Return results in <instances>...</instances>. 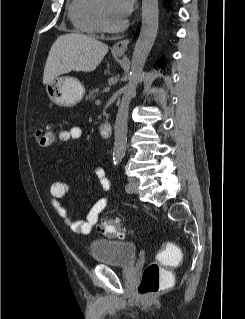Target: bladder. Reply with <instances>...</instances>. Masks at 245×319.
<instances>
[{"mask_svg": "<svg viewBox=\"0 0 245 319\" xmlns=\"http://www.w3.org/2000/svg\"><path fill=\"white\" fill-rule=\"evenodd\" d=\"M90 255L97 264L131 267L137 256L136 244L128 241L96 239L90 243Z\"/></svg>", "mask_w": 245, "mask_h": 319, "instance_id": "1", "label": "bladder"}]
</instances>
